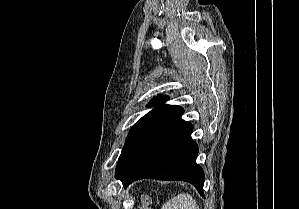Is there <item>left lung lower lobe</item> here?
<instances>
[{
  "instance_id": "left-lung-lower-lobe-1",
  "label": "left lung lower lobe",
  "mask_w": 299,
  "mask_h": 209,
  "mask_svg": "<svg viewBox=\"0 0 299 209\" xmlns=\"http://www.w3.org/2000/svg\"><path fill=\"white\" fill-rule=\"evenodd\" d=\"M180 106L162 105L127 137L116 166V178L126 188L135 180H182L204 197V172L196 164L198 146L193 126L181 119Z\"/></svg>"
}]
</instances>
